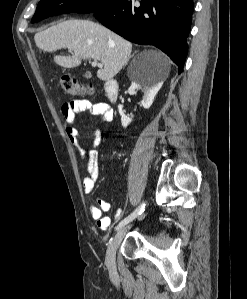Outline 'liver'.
<instances>
[{
	"instance_id": "liver-1",
	"label": "liver",
	"mask_w": 247,
	"mask_h": 299,
	"mask_svg": "<svg viewBox=\"0 0 247 299\" xmlns=\"http://www.w3.org/2000/svg\"><path fill=\"white\" fill-rule=\"evenodd\" d=\"M37 47L45 52H55L62 48L72 51L71 56L54 57V61L64 68H75L82 59L100 61L102 68L97 71L100 80L107 81L119 73L128 62L132 44L90 20L72 19L58 23L40 31L34 36ZM156 57L163 74L167 78L170 65L167 57L159 51H151Z\"/></svg>"
}]
</instances>
